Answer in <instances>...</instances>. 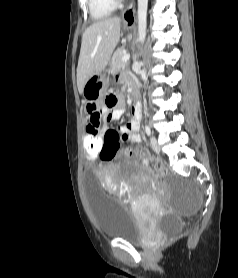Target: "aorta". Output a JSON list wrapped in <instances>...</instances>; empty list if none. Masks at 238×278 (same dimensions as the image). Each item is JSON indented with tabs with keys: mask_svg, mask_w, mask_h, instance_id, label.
I'll return each mask as SVG.
<instances>
[{
	"mask_svg": "<svg viewBox=\"0 0 238 278\" xmlns=\"http://www.w3.org/2000/svg\"><path fill=\"white\" fill-rule=\"evenodd\" d=\"M147 7L148 0H138V37L141 43H144L147 29Z\"/></svg>",
	"mask_w": 238,
	"mask_h": 278,
	"instance_id": "obj_1",
	"label": "aorta"
}]
</instances>
